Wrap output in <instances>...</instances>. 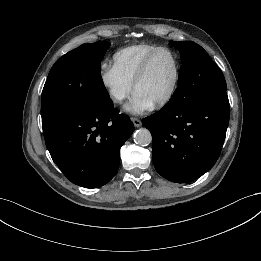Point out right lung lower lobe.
Wrapping results in <instances>:
<instances>
[{
    "label": "right lung lower lobe",
    "mask_w": 261,
    "mask_h": 261,
    "mask_svg": "<svg viewBox=\"0 0 261 261\" xmlns=\"http://www.w3.org/2000/svg\"><path fill=\"white\" fill-rule=\"evenodd\" d=\"M132 133L129 117L110 103L59 122L44 137L53 161L72 183L97 188L117 174L120 148Z\"/></svg>",
    "instance_id": "right-lung-lower-lobe-1"
}]
</instances>
